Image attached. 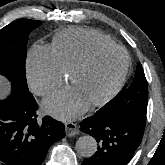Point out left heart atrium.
<instances>
[{"instance_id":"left-heart-atrium-1","label":"left heart atrium","mask_w":165,"mask_h":165,"mask_svg":"<svg viewBox=\"0 0 165 165\" xmlns=\"http://www.w3.org/2000/svg\"><path fill=\"white\" fill-rule=\"evenodd\" d=\"M88 105V101L74 86L58 90L43 101V109L61 120L77 117L87 109Z\"/></svg>"}]
</instances>
